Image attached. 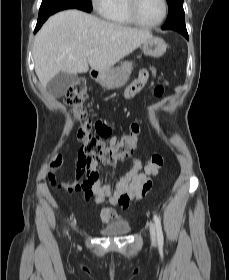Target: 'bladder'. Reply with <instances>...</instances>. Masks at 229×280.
<instances>
[{"mask_svg":"<svg viewBox=\"0 0 229 280\" xmlns=\"http://www.w3.org/2000/svg\"><path fill=\"white\" fill-rule=\"evenodd\" d=\"M131 230L132 226L129 221H121L107 228L102 233L108 236H122L129 233Z\"/></svg>","mask_w":229,"mask_h":280,"instance_id":"31cf9c89","label":"bladder"}]
</instances>
